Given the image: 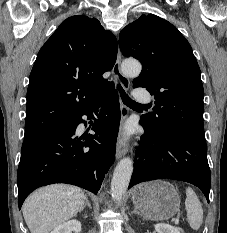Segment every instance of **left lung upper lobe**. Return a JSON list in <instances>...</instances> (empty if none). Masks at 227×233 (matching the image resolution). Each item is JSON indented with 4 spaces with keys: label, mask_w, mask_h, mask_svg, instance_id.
I'll list each match as a JSON object with an SVG mask.
<instances>
[{
    "label": "left lung upper lobe",
    "mask_w": 227,
    "mask_h": 233,
    "mask_svg": "<svg viewBox=\"0 0 227 233\" xmlns=\"http://www.w3.org/2000/svg\"><path fill=\"white\" fill-rule=\"evenodd\" d=\"M119 46L124 56L142 63L133 87L154 95V112L141 119L145 129L156 136L178 131L205 142L200 68L185 37L168 21L141 15L120 32Z\"/></svg>",
    "instance_id": "5c2ea615"
}]
</instances>
